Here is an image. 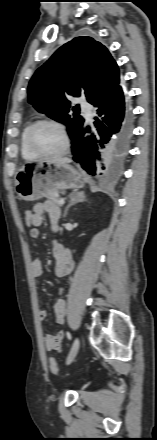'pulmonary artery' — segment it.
<instances>
[{"label":"pulmonary artery","instance_id":"obj_1","mask_svg":"<svg viewBox=\"0 0 157 440\" xmlns=\"http://www.w3.org/2000/svg\"><path fill=\"white\" fill-rule=\"evenodd\" d=\"M80 104H81L82 110L84 111V113L86 115V118L88 120H90V118L92 116V111H93L92 110V106L89 103H87L86 101H84V100H81Z\"/></svg>","mask_w":157,"mask_h":440}]
</instances>
